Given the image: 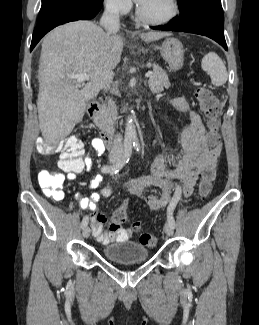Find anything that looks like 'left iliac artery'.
Segmentation results:
<instances>
[{
	"label": "left iliac artery",
	"mask_w": 259,
	"mask_h": 325,
	"mask_svg": "<svg viewBox=\"0 0 259 325\" xmlns=\"http://www.w3.org/2000/svg\"><path fill=\"white\" fill-rule=\"evenodd\" d=\"M134 147L137 151L140 150V145L137 144V143H134ZM181 197V190H180V187L177 186L176 188V191H175V194L168 206V209H167V220L168 222L173 226V228L175 227V220H174V217H173V211H174V208L176 207L179 199Z\"/></svg>",
	"instance_id": "1"
}]
</instances>
